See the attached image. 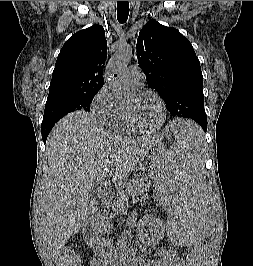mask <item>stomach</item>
<instances>
[{
    "instance_id": "1",
    "label": "stomach",
    "mask_w": 253,
    "mask_h": 266,
    "mask_svg": "<svg viewBox=\"0 0 253 266\" xmlns=\"http://www.w3.org/2000/svg\"><path fill=\"white\" fill-rule=\"evenodd\" d=\"M163 153H168L165 149L163 143H157L150 147L147 153L141 158L139 165L142 172L153 179V176H159V171L157 169V160H161Z\"/></svg>"
}]
</instances>
